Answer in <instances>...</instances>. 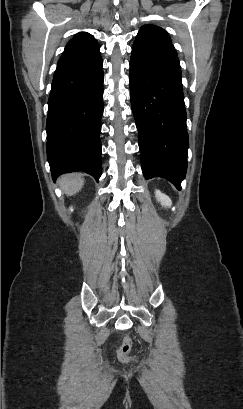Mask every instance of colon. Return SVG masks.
Listing matches in <instances>:
<instances>
[{
	"label": "colon",
	"mask_w": 243,
	"mask_h": 409,
	"mask_svg": "<svg viewBox=\"0 0 243 409\" xmlns=\"http://www.w3.org/2000/svg\"><path fill=\"white\" fill-rule=\"evenodd\" d=\"M132 347V342L130 338L125 337L120 345V347L117 350V358L121 362H129L132 359V356L130 355Z\"/></svg>",
	"instance_id": "1"
}]
</instances>
